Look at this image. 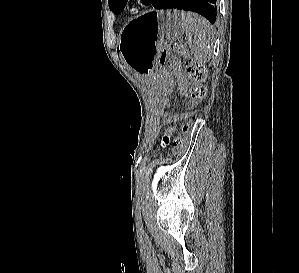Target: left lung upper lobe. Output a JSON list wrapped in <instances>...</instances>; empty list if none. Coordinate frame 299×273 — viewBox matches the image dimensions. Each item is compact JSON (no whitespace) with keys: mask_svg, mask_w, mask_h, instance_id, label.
Listing matches in <instances>:
<instances>
[{"mask_svg":"<svg viewBox=\"0 0 299 273\" xmlns=\"http://www.w3.org/2000/svg\"><path fill=\"white\" fill-rule=\"evenodd\" d=\"M128 0H108L109 8L115 14H119L123 11ZM153 0H142L144 4H151Z\"/></svg>","mask_w":299,"mask_h":273,"instance_id":"1","label":"left lung upper lobe"}]
</instances>
